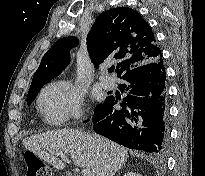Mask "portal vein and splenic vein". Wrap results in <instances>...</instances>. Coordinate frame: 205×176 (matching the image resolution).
<instances>
[{
    "label": "portal vein and splenic vein",
    "mask_w": 205,
    "mask_h": 176,
    "mask_svg": "<svg viewBox=\"0 0 205 176\" xmlns=\"http://www.w3.org/2000/svg\"><path fill=\"white\" fill-rule=\"evenodd\" d=\"M56 155L59 156L62 160H64L67 163H71V161L68 159V157L62 153V152H56ZM83 176H91L90 172L87 169L82 170Z\"/></svg>",
    "instance_id": "1"
}]
</instances>
